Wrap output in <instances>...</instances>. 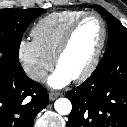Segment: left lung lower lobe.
I'll list each match as a JSON object with an SVG mask.
<instances>
[{"label": "left lung lower lobe", "instance_id": "0a47b994", "mask_svg": "<svg viewBox=\"0 0 127 127\" xmlns=\"http://www.w3.org/2000/svg\"><path fill=\"white\" fill-rule=\"evenodd\" d=\"M66 95L73 106L67 127H127V49L99 63Z\"/></svg>", "mask_w": 127, "mask_h": 127}]
</instances>
